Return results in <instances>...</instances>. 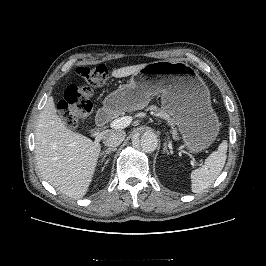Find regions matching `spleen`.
Segmentation results:
<instances>
[{
  "label": "spleen",
  "mask_w": 266,
  "mask_h": 266,
  "mask_svg": "<svg viewBox=\"0 0 266 266\" xmlns=\"http://www.w3.org/2000/svg\"><path fill=\"white\" fill-rule=\"evenodd\" d=\"M228 143L224 140L218 149L212 152L202 167L191 172V190L193 193H201L209 188L220 175L227 158Z\"/></svg>",
  "instance_id": "3e777b00"
}]
</instances>
